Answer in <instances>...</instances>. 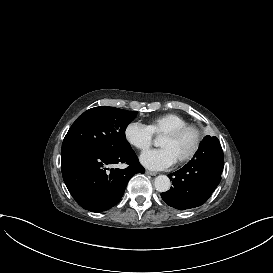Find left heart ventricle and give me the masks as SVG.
Listing matches in <instances>:
<instances>
[{"instance_id":"1","label":"left heart ventricle","mask_w":273,"mask_h":273,"mask_svg":"<svg viewBox=\"0 0 273 273\" xmlns=\"http://www.w3.org/2000/svg\"><path fill=\"white\" fill-rule=\"evenodd\" d=\"M193 138V132L188 131L176 137H160L158 144L160 147L167 148L177 162L189 152Z\"/></svg>"}]
</instances>
